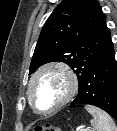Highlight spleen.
<instances>
[{"label":"spleen","mask_w":117,"mask_h":131,"mask_svg":"<svg viewBox=\"0 0 117 131\" xmlns=\"http://www.w3.org/2000/svg\"><path fill=\"white\" fill-rule=\"evenodd\" d=\"M85 109L92 115L90 121L93 131H117L115 122L109 114L95 106L86 105Z\"/></svg>","instance_id":"1"}]
</instances>
